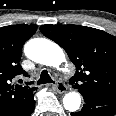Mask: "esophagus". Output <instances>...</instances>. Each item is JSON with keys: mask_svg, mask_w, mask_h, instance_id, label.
Masks as SVG:
<instances>
[{"mask_svg": "<svg viewBox=\"0 0 116 116\" xmlns=\"http://www.w3.org/2000/svg\"><path fill=\"white\" fill-rule=\"evenodd\" d=\"M54 88L60 94L66 93V91H67L66 85L63 82H61V81H57L55 83V85H54Z\"/></svg>", "mask_w": 116, "mask_h": 116, "instance_id": "obj_1", "label": "esophagus"}]
</instances>
